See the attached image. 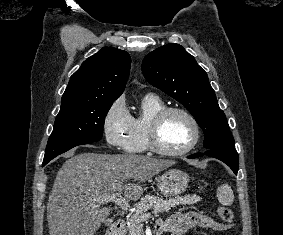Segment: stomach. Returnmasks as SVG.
Segmentation results:
<instances>
[{
	"label": "stomach",
	"mask_w": 283,
	"mask_h": 235,
	"mask_svg": "<svg viewBox=\"0 0 283 235\" xmlns=\"http://www.w3.org/2000/svg\"><path fill=\"white\" fill-rule=\"evenodd\" d=\"M189 176L179 169H169L158 179L161 194L167 197L178 196L188 187Z\"/></svg>",
	"instance_id": "stomach-1"
}]
</instances>
